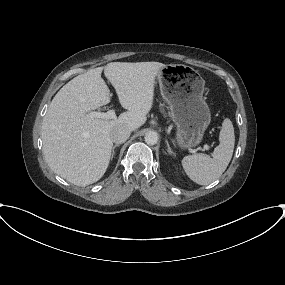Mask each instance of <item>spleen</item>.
<instances>
[{
    "instance_id": "1",
    "label": "spleen",
    "mask_w": 285,
    "mask_h": 285,
    "mask_svg": "<svg viewBox=\"0 0 285 285\" xmlns=\"http://www.w3.org/2000/svg\"><path fill=\"white\" fill-rule=\"evenodd\" d=\"M220 144L214 149L213 157L199 153L182 159V166L191 180L199 185H208L219 178L231 161L235 134L230 119H224L219 134Z\"/></svg>"
}]
</instances>
